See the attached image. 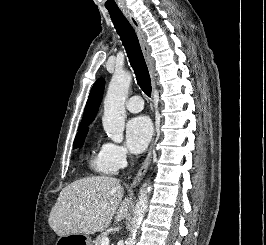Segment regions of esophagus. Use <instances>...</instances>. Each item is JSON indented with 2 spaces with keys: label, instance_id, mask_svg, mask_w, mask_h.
I'll return each instance as SVG.
<instances>
[{
  "label": "esophagus",
  "instance_id": "obj_1",
  "mask_svg": "<svg viewBox=\"0 0 266 245\" xmlns=\"http://www.w3.org/2000/svg\"><path fill=\"white\" fill-rule=\"evenodd\" d=\"M126 18L129 19V22L131 23L132 27L134 28L137 37L139 39L140 42V46L142 48L146 63L148 65L149 68V72H150V76H151V80H152V96L154 98V92L156 90V71H155V66H154V62H153V58L151 57V49L150 46L148 45L147 39H146V35L143 32L140 23L138 22V20L130 13L127 12L125 13ZM154 147V142L150 145V148L148 150V153L146 155V158L140 168V170L138 171L132 187H135L141 180V178L143 177V175L145 174L146 170L148 169L151 160H152V150Z\"/></svg>",
  "mask_w": 266,
  "mask_h": 245
}]
</instances>
